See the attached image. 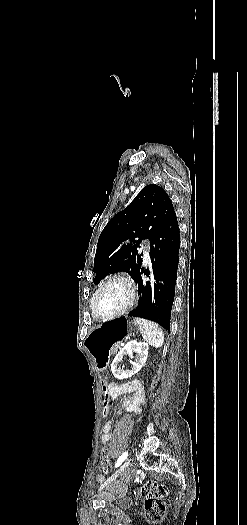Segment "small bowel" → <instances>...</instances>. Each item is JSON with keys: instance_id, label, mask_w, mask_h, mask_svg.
Instances as JSON below:
<instances>
[{"instance_id": "obj_1", "label": "small bowel", "mask_w": 247, "mask_h": 525, "mask_svg": "<svg viewBox=\"0 0 247 525\" xmlns=\"http://www.w3.org/2000/svg\"><path fill=\"white\" fill-rule=\"evenodd\" d=\"M124 393V387L115 384L113 387H109V394L108 399H116L119 396H121ZM144 399V393L143 389L139 385H135L132 389V391L128 394V396L125 398V400L122 403V407L126 410H134L137 405H139ZM112 439V423L107 420L105 421L103 428H102V434H101V441L103 445H108L111 442ZM111 457L114 460H117L119 457V449L117 447H114L111 451ZM96 480L101 483L104 481V477L101 473H97L95 476Z\"/></svg>"}]
</instances>
